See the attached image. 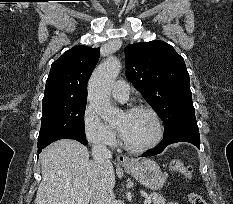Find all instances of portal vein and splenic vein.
I'll return each mask as SVG.
<instances>
[{
    "mask_svg": "<svg viewBox=\"0 0 233 204\" xmlns=\"http://www.w3.org/2000/svg\"><path fill=\"white\" fill-rule=\"evenodd\" d=\"M150 203H151V199L150 198L145 199L144 204H150Z\"/></svg>",
    "mask_w": 233,
    "mask_h": 204,
    "instance_id": "18ae733b",
    "label": "portal vein and splenic vein"
}]
</instances>
